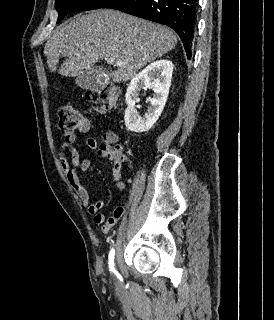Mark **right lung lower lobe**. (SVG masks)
<instances>
[{
	"label": "right lung lower lobe",
	"mask_w": 274,
	"mask_h": 320,
	"mask_svg": "<svg viewBox=\"0 0 274 320\" xmlns=\"http://www.w3.org/2000/svg\"><path fill=\"white\" fill-rule=\"evenodd\" d=\"M198 0H112L103 8H111L167 25L180 36L187 57H191Z\"/></svg>",
	"instance_id": "1"
}]
</instances>
